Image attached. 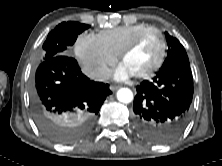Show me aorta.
<instances>
[{"mask_svg":"<svg viewBox=\"0 0 222 166\" xmlns=\"http://www.w3.org/2000/svg\"><path fill=\"white\" fill-rule=\"evenodd\" d=\"M117 99L122 103H130L133 100V93L129 88H121L117 92Z\"/></svg>","mask_w":222,"mask_h":166,"instance_id":"obj_1","label":"aorta"}]
</instances>
